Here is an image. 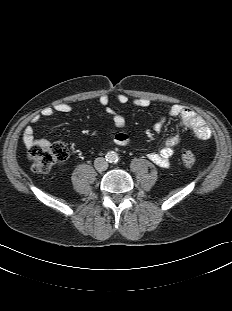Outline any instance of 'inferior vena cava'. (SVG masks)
Returning <instances> with one entry per match:
<instances>
[{"label":"inferior vena cava","instance_id":"602c4592","mask_svg":"<svg viewBox=\"0 0 232 311\" xmlns=\"http://www.w3.org/2000/svg\"><path fill=\"white\" fill-rule=\"evenodd\" d=\"M94 167L97 171H105L108 168V162L103 157L94 160Z\"/></svg>","mask_w":232,"mask_h":311}]
</instances>
